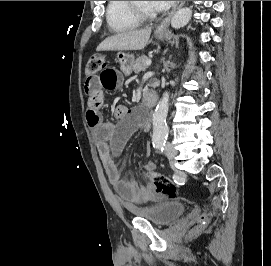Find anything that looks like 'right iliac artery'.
I'll return each instance as SVG.
<instances>
[{
    "label": "right iliac artery",
    "mask_w": 271,
    "mask_h": 266,
    "mask_svg": "<svg viewBox=\"0 0 271 266\" xmlns=\"http://www.w3.org/2000/svg\"><path fill=\"white\" fill-rule=\"evenodd\" d=\"M161 143H162V142H155V143L153 144V146H154L155 148L159 149Z\"/></svg>",
    "instance_id": "obj_1"
}]
</instances>
